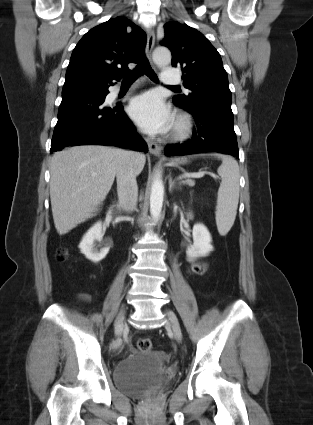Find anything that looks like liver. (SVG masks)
Returning <instances> with one entry per match:
<instances>
[{"label":"liver","mask_w":313,"mask_h":425,"mask_svg":"<svg viewBox=\"0 0 313 425\" xmlns=\"http://www.w3.org/2000/svg\"><path fill=\"white\" fill-rule=\"evenodd\" d=\"M122 149L85 145L56 152L50 164V199L54 225L59 235L67 234L91 218L109 193ZM146 157L136 153L139 175Z\"/></svg>","instance_id":"obj_1"}]
</instances>
